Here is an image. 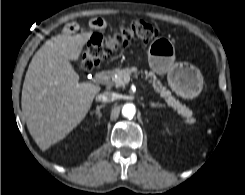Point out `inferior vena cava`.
Instances as JSON below:
<instances>
[{"instance_id":"inferior-vena-cava-1","label":"inferior vena cava","mask_w":245,"mask_h":195,"mask_svg":"<svg viewBox=\"0 0 245 195\" xmlns=\"http://www.w3.org/2000/svg\"><path fill=\"white\" fill-rule=\"evenodd\" d=\"M117 95L113 92H104L96 96V101L111 102L116 100Z\"/></svg>"}]
</instances>
